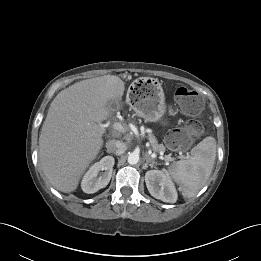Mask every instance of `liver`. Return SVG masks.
Wrapping results in <instances>:
<instances>
[{"mask_svg":"<svg viewBox=\"0 0 261 261\" xmlns=\"http://www.w3.org/2000/svg\"><path fill=\"white\" fill-rule=\"evenodd\" d=\"M124 82L105 75L73 84L50 104L39 137V160L49 183L65 193L77 189L79 181L103 145L107 103L119 101Z\"/></svg>","mask_w":261,"mask_h":261,"instance_id":"1","label":"liver"}]
</instances>
